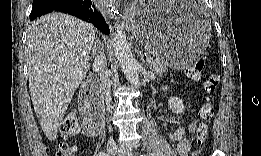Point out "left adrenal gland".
<instances>
[{
	"instance_id": "1",
	"label": "left adrenal gland",
	"mask_w": 261,
	"mask_h": 156,
	"mask_svg": "<svg viewBox=\"0 0 261 156\" xmlns=\"http://www.w3.org/2000/svg\"><path fill=\"white\" fill-rule=\"evenodd\" d=\"M140 59L144 62V58L141 54H140Z\"/></svg>"
}]
</instances>
